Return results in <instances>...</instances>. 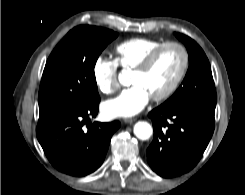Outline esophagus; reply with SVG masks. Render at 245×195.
<instances>
[{
  "instance_id": "obj_1",
  "label": "esophagus",
  "mask_w": 245,
  "mask_h": 195,
  "mask_svg": "<svg viewBox=\"0 0 245 195\" xmlns=\"http://www.w3.org/2000/svg\"><path fill=\"white\" fill-rule=\"evenodd\" d=\"M136 121V118H126L124 119V122L127 124H131Z\"/></svg>"
}]
</instances>
